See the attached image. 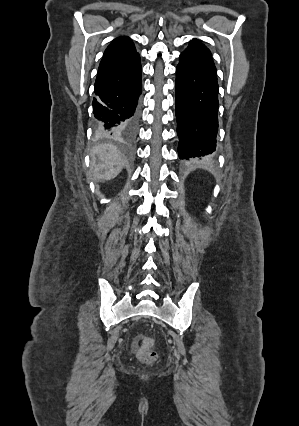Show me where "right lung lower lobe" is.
<instances>
[{"label": "right lung lower lobe", "mask_w": 299, "mask_h": 426, "mask_svg": "<svg viewBox=\"0 0 299 426\" xmlns=\"http://www.w3.org/2000/svg\"><path fill=\"white\" fill-rule=\"evenodd\" d=\"M93 113L100 132L131 139L137 129L142 92L140 56L99 66L94 85Z\"/></svg>", "instance_id": "98d812e1"}]
</instances>
